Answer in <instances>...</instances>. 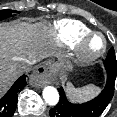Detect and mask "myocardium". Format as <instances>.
Wrapping results in <instances>:
<instances>
[{"instance_id": "obj_1", "label": "myocardium", "mask_w": 117, "mask_h": 117, "mask_svg": "<svg viewBox=\"0 0 117 117\" xmlns=\"http://www.w3.org/2000/svg\"><path fill=\"white\" fill-rule=\"evenodd\" d=\"M94 37H99L102 40V46L101 48L96 51V52H90L87 48L88 43L91 39H93ZM75 47V57L77 59L78 62L80 63H92L94 61H96L97 59H99L101 56H103V54L106 51L107 48V42L106 39L104 37L103 34L99 33V32H89L83 36H81Z\"/></svg>"}]
</instances>
